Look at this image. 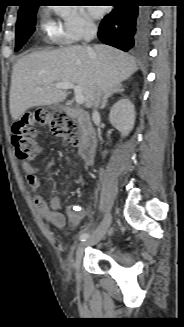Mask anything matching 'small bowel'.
Listing matches in <instances>:
<instances>
[{"instance_id": "1", "label": "small bowel", "mask_w": 184, "mask_h": 327, "mask_svg": "<svg viewBox=\"0 0 184 327\" xmlns=\"http://www.w3.org/2000/svg\"><path fill=\"white\" fill-rule=\"evenodd\" d=\"M44 150L42 145H38L35 153L26 161L23 162V169L26 173V179L29 186L34 191H40L43 188L42 182L37 176V169L33 164L36 156L41 154ZM53 162L48 163V167H52ZM80 181L82 179L80 178ZM34 203L39 213L54 227L63 228L66 223L70 228H76L84 217V210L79 205H71L67 208L66 215L59 210V201L56 198L46 201L42 195H37Z\"/></svg>"}]
</instances>
